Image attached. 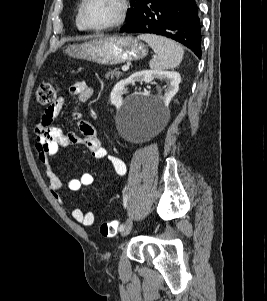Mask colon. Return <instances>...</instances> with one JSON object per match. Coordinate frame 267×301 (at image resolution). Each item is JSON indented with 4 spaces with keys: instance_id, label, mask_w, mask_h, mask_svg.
I'll return each instance as SVG.
<instances>
[{
    "instance_id": "5ec220e1",
    "label": "colon",
    "mask_w": 267,
    "mask_h": 301,
    "mask_svg": "<svg viewBox=\"0 0 267 301\" xmlns=\"http://www.w3.org/2000/svg\"><path fill=\"white\" fill-rule=\"evenodd\" d=\"M58 89L52 81L39 85L36 91L37 103L43 106L52 105L57 97ZM118 222L115 220L103 222L100 225V233L104 237L114 236L117 232Z\"/></svg>"
}]
</instances>
